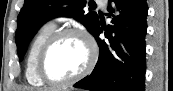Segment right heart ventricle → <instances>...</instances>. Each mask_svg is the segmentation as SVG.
<instances>
[{"label": "right heart ventricle", "instance_id": "right-heart-ventricle-1", "mask_svg": "<svg viewBox=\"0 0 173 91\" xmlns=\"http://www.w3.org/2000/svg\"><path fill=\"white\" fill-rule=\"evenodd\" d=\"M56 30V24L53 21H48L44 23L36 35L34 36L28 53L26 57V68H25V76L29 84L33 86H43L44 83L39 79L36 74V58L37 54L45 42V40Z\"/></svg>", "mask_w": 173, "mask_h": 91}]
</instances>
